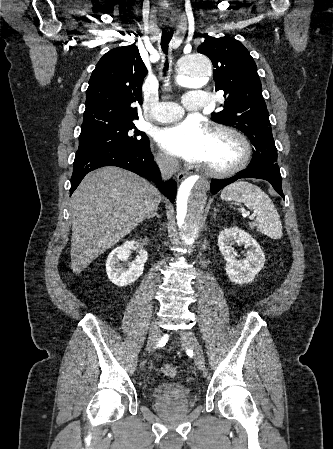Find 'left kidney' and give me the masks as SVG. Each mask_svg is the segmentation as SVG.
Masks as SVG:
<instances>
[{"label":"left kidney","instance_id":"5707ae66","mask_svg":"<svg viewBox=\"0 0 333 449\" xmlns=\"http://www.w3.org/2000/svg\"><path fill=\"white\" fill-rule=\"evenodd\" d=\"M235 244L244 245L248 248L246 259L238 260L236 258ZM218 245L227 262V276L234 283L244 284L251 282L264 265V252L257 241L242 229L233 227L223 230L219 234Z\"/></svg>","mask_w":333,"mask_h":449}]
</instances>
